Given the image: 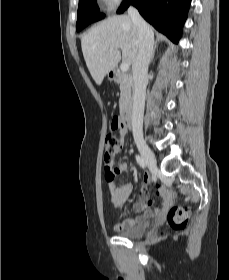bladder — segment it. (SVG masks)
<instances>
[{
    "label": "bladder",
    "mask_w": 229,
    "mask_h": 280,
    "mask_svg": "<svg viewBox=\"0 0 229 280\" xmlns=\"http://www.w3.org/2000/svg\"><path fill=\"white\" fill-rule=\"evenodd\" d=\"M150 224L149 221L143 219L138 221L134 226L118 231L117 234L121 236H126L130 238L140 237L146 233Z\"/></svg>",
    "instance_id": "bladder-1"
}]
</instances>
